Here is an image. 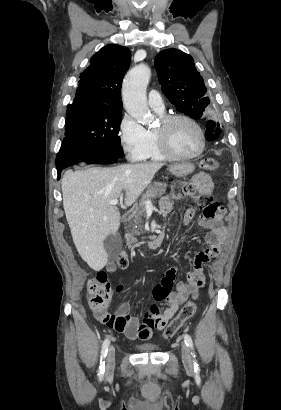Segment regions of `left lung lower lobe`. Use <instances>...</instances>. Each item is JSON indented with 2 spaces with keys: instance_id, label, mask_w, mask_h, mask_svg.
I'll list each match as a JSON object with an SVG mask.
<instances>
[{
  "instance_id": "left-lung-lower-lobe-1",
  "label": "left lung lower lobe",
  "mask_w": 281,
  "mask_h": 410,
  "mask_svg": "<svg viewBox=\"0 0 281 410\" xmlns=\"http://www.w3.org/2000/svg\"><path fill=\"white\" fill-rule=\"evenodd\" d=\"M218 125L219 124H217V126ZM216 130L219 131L216 128L215 122L212 121V120H208L207 125H206V132H205V136H206L207 140L211 141V140H214L218 137V136H212V133H214Z\"/></svg>"
}]
</instances>
